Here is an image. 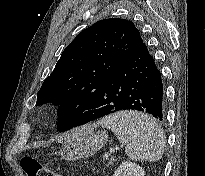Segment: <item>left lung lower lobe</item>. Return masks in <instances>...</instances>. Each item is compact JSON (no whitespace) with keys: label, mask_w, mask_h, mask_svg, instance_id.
Masks as SVG:
<instances>
[{"label":"left lung lower lobe","mask_w":205,"mask_h":176,"mask_svg":"<svg viewBox=\"0 0 205 176\" xmlns=\"http://www.w3.org/2000/svg\"><path fill=\"white\" fill-rule=\"evenodd\" d=\"M120 110H138L159 120L164 118L161 73L144 42L106 82L94 103L74 127Z\"/></svg>","instance_id":"left-lung-lower-lobe-1"}]
</instances>
